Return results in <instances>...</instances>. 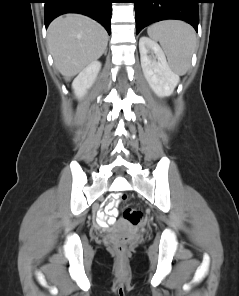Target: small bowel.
<instances>
[{"label":"small bowel","instance_id":"1","mask_svg":"<svg viewBox=\"0 0 239 296\" xmlns=\"http://www.w3.org/2000/svg\"><path fill=\"white\" fill-rule=\"evenodd\" d=\"M117 214L118 212L115 204L110 202L105 206L104 211L98 214V217L104 224H110L115 220Z\"/></svg>","mask_w":239,"mask_h":296}]
</instances>
